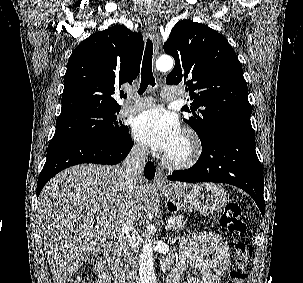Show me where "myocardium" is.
<instances>
[{
	"instance_id": "obj_1",
	"label": "myocardium",
	"mask_w": 303,
	"mask_h": 283,
	"mask_svg": "<svg viewBox=\"0 0 303 283\" xmlns=\"http://www.w3.org/2000/svg\"><path fill=\"white\" fill-rule=\"evenodd\" d=\"M182 138L186 144V152L180 157L164 155L163 163L172 169H187L192 167L201 156L202 144L198 135L193 130H186Z\"/></svg>"
}]
</instances>
